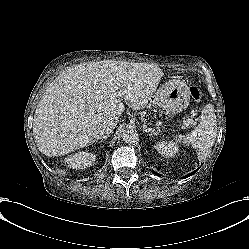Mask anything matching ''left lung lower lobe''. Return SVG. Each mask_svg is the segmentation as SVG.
Instances as JSON below:
<instances>
[{
  "instance_id": "left-lung-lower-lobe-1",
  "label": "left lung lower lobe",
  "mask_w": 249,
  "mask_h": 249,
  "mask_svg": "<svg viewBox=\"0 0 249 249\" xmlns=\"http://www.w3.org/2000/svg\"><path fill=\"white\" fill-rule=\"evenodd\" d=\"M196 171H194V172H192V173H190L189 175H187V176H190V175H192V174H194ZM156 175H158V176H160V174H157V173H155ZM186 176V177H187Z\"/></svg>"
}]
</instances>
